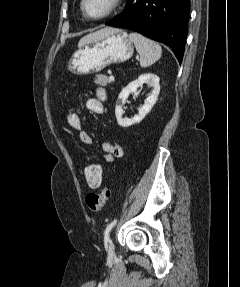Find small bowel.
I'll return each instance as SVG.
<instances>
[{
    "mask_svg": "<svg viewBox=\"0 0 240 287\" xmlns=\"http://www.w3.org/2000/svg\"><path fill=\"white\" fill-rule=\"evenodd\" d=\"M106 97L107 96L104 89H97L96 95L87 99L86 108L92 113L103 114ZM66 121L71 128L79 131V138L83 144L92 145V137L87 131L83 129L82 117L79 114L68 113L66 115ZM102 150V159L107 163H112L124 155L123 147L119 143H113L109 141L104 142L102 144Z\"/></svg>",
    "mask_w": 240,
    "mask_h": 287,
    "instance_id": "c3829d8e",
    "label": "small bowel"
}]
</instances>
